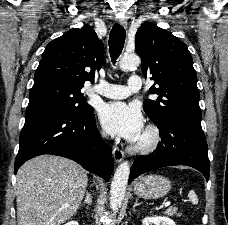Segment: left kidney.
Wrapping results in <instances>:
<instances>
[{
	"instance_id": "obj_1",
	"label": "left kidney",
	"mask_w": 228,
	"mask_h": 225,
	"mask_svg": "<svg viewBox=\"0 0 228 225\" xmlns=\"http://www.w3.org/2000/svg\"><path fill=\"white\" fill-rule=\"evenodd\" d=\"M175 225L172 219H168V217H145L142 221V225Z\"/></svg>"
}]
</instances>
